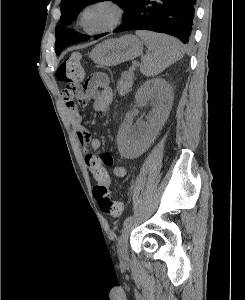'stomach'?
Masks as SVG:
<instances>
[{
	"label": "stomach",
	"instance_id": "stomach-1",
	"mask_svg": "<svg viewBox=\"0 0 245 300\" xmlns=\"http://www.w3.org/2000/svg\"><path fill=\"white\" fill-rule=\"evenodd\" d=\"M143 51V43L135 35H124L117 39H107L97 45L90 53V58L96 64L115 66L125 61L135 59Z\"/></svg>",
	"mask_w": 245,
	"mask_h": 300
}]
</instances>
